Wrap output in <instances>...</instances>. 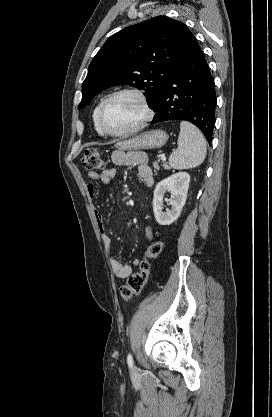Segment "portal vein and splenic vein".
<instances>
[{
	"label": "portal vein and splenic vein",
	"instance_id": "18ae733b",
	"mask_svg": "<svg viewBox=\"0 0 272 417\" xmlns=\"http://www.w3.org/2000/svg\"><path fill=\"white\" fill-rule=\"evenodd\" d=\"M161 160H162V161H166V157H165V155H161Z\"/></svg>",
	"mask_w": 272,
	"mask_h": 417
}]
</instances>
